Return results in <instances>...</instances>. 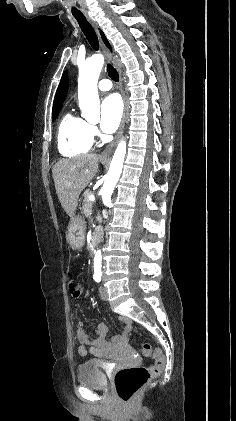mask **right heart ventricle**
Listing matches in <instances>:
<instances>
[{"mask_svg":"<svg viewBox=\"0 0 236 421\" xmlns=\"http://www.w3.org/2000/svg\"><path fill=\"white\" fill-rule=\"evenodd\" d=\"M57 146L60 154L68 158L87 154L93 147L90 123L82 117L66 113L58 126Z\"/></svg>","mask_w":236,"mask_h":421,"instance_id":"right-heart-ventricle-1","label":"right heart ventricle"}]
</instances>
